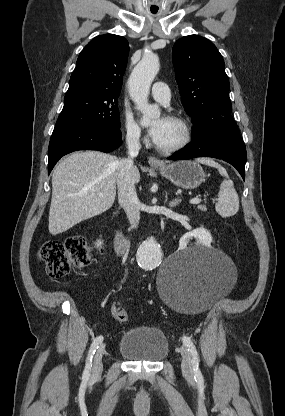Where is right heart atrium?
I'll use <instances>...</instances> for the list:
<instances>
[{
    "label": "right heart atrium",
    "instance_id": "d8ad5b80",
    "mask_svg": "<svg viewBox=\"0 0 285 416\" xmlns=\"http://www.w3.org/2000/svg\"><path fill=\"white\" fill-rule=\"evenodd\" d=\"M125 125L127 139L130 143L139 144L140 142L144 141L142 129L135 122V120L128 114L126 115Z\"/></svg>",
    "mask_w": 285,
    "mask_h": 416
}]
</instances>
